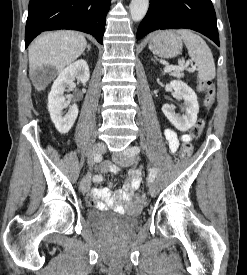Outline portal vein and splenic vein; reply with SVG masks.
<instances>
[{
  "instance_id": "obj_1",
  "label": "portal vein and splenic vein",
  "mask_w": 247,
  "mask_h": 275,
  "mask_svg": "<svg viewBox=\"0 0 247 275\" xmlns=\"http://www.w3.org/2000/svg\"><path fill=\"white\" fill-rule=\"evenodd\" d=\"M184 69H186V65L184 60H182L178 66H167L164 68V71L165 72L182 71ZM194 69H195L194 67L188 68L189 71H193Z\"/></svg>"
}]
</instances>
